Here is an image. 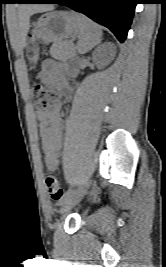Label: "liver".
<instances>
[{
	"instance_id": "1",
	"label": "liver",
	"mask_w": 166,
	"mask_h": 267,
	"mask_svg": "<svg viewBox=\"0 0 166 267\" xmlns=\"http://www.w3.org/2000/svg\"><path fill=\"white\" fill-rule=\"evenodd\" d=\"M50 5H24L21 6L18 12L17 21L14 25L15 36L11 38L13 46L23 49L26 45V37L29 30L30 16L39 13L53 10Z\"/></svg>"
}]
</instances>
